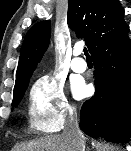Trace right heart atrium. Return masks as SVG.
<instances>
[{
    "label": "right heart atrium",
    "mask_w": 131,
    "mask_h": 151,
    "mask_svg": "<svg viewBox=\"0 0 131 151\" xmlns=\"http://www.w3.org/2000/svg\"><path fill=\"white\" fill-rule=\"evenodd\" d=\"M75 113L68 101L63 84L51 75L39 77L29 92V115L33 129L41 133H55Z\"/></svg>",
    "instance_id": "right-heart-atrium-1"
}]
</instances>
